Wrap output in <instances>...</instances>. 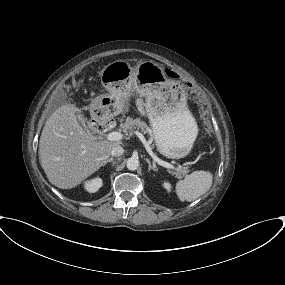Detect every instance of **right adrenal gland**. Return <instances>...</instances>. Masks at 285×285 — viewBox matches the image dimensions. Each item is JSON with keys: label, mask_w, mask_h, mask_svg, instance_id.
<instances>
[{"label": "right adrenal gland", "mask_w": 285, "mask_h": 285, "mask_svg": "<svg viewBox=\"0 0 285 285\" xmlns=\"http://www.w3.org/2000/svg\"><path fill=\"white\" fill-rule=\"evenodd\" d=\"M114 161V158H109L108 160H107V162H113Z\"/></svg>", "instance_id": "obj_1"}]
</instances>
